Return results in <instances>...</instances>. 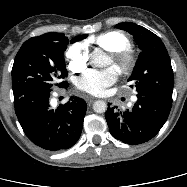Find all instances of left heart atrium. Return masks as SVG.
Returning a JSON list of instances; mask_svg holds the SVG:
<instances>
[{
  "mask_svg": "<svg viewBox=\"0 0 187 187\" xmlns=\"http://www.w3.org/2000/svg\"><path fill=\"white\" fill-rule=\"evenodd\" d=\"M118 76V70L113 67L104 70L93 69L80 76L76 81V86L85 93L101 95L117 81Z\"/></svg>",
  "mask_w": 187,
  "mask_h": 187,
  "instance_id": "1",
  "label": "left heart atrium"
}]
</instances>
